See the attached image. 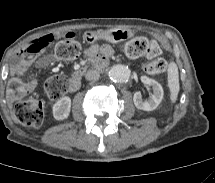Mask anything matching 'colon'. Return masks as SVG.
Wrapping results in <instances>:
<instances>
[{
  "label": "colon",
  "instance_id": "5ec220e1",
  "mask_svg": "<svg viewBox=\"0 0 215 183\" xmlns=\"http://www.w3.org/2000/svg\"><path fill=\"white\" fill-rule=\"evenodd\" d=\"M50 43L41 41L35 44L31 51L39 52L47 49ZM124 53L129 58L146 56L152 60L144 65V70L148 74H159L166 70L167 61L158 57L161 54V47L155 40L145 37H137L124 46ZM55 54L63 60H73L81 54V45L74 39V34L69 33L65 39L58 42L55 46ZM47 94L52 99L60 98L68 89V79L63 75H56L47 80L45 84ZM16 119L22 125L29 128H38L44 119V104L38 98H27L20 100L14 107Z\"/></svg>",
  "mask_w": 215,
  "mask_h": 183
}]
</instances>
